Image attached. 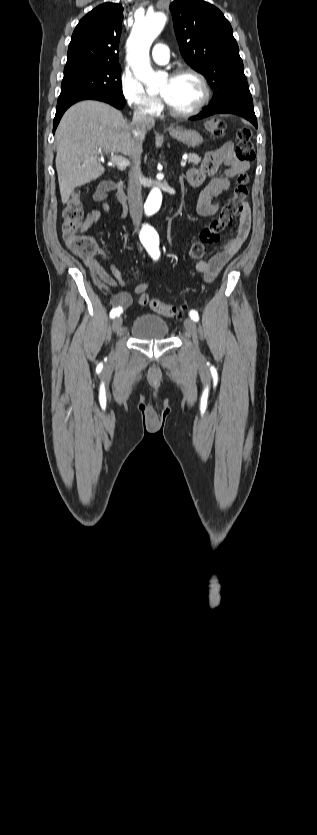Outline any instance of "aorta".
I'll return each instance as SVG.
<instances>
[{"label": "aorta", "mask_w": 317, "mask_h": 835, "mask_svg": "<svg viewBox=\"0 0 317 835\" xmlns=\"http://www.w3.org/2000/svg\"><path fill=\"white\" fill-rule=\"evenodd\" d=\"M168 18L169 14L165 11L147 14L136 21L127 40V61L135 77L146 86L147 91L158 90L159 84L166 80V73L155 72L151 67L149 50ZM161 203V191L155 187L145 203L146 216L148 218L153 216L159 210ZM142 233L157 244V233L150 220L146 221Z\"/></svg>", "instance_id": "aorta-1"}]
</instances>
